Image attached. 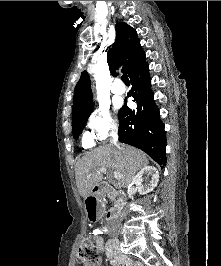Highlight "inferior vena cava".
<instances>
[{"label": "inferior vena cava", "instance_id": "obj_1", "mask_svg": "<svg viewBox=\"0 0 221 266\" xmlns=\"http://www.w3.org/2000/svg\"><path fill=\"white\" fill-rule=\"evenodd\" d=\"M117 140H118V136H117V133L114 131V132H112V140H111V143H113V144L116 145ZM113 226L114 227L120 226V221L119 220H115L114 223H113Z\"/></svg>", "mask_w": 221, "mask_h": 266}]
</instances>
